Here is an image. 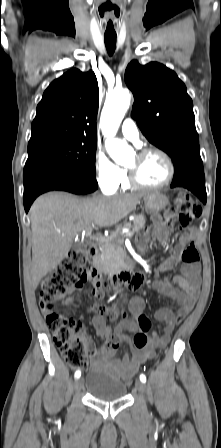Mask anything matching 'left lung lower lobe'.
<instances>
[{
  "mask_svg": "<svg viewBox=\"0 0 221 448\" xmlns=\"http://www.w3.org/2000/svg\"><path fill=\"white\" fill-rule=\"evenodd\" d=\"M170 187L187 188L205 204L207 194L202 160L189 161L186 165L175 169Z\"/></svg>",
  "mask_w": 221,
  "mask_h": 448,
  "instance_id": "1",
  "label": "left lung lower lobe"
}]
</instances>
